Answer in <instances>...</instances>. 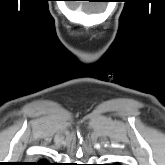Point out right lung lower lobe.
Segmentation results:
<instances>
[{"mask_svg": "<svg viewBox=\"0 0 165 165\" xmlns=\"http://www.w3.org/2000/svg\"><path fill=\"white\" fill-rule=\"evenodd\" d=\"M34 165H51V163H46V162H40V163H34Z\"/></svg>", "mask_w": 165, "mask_h": 165, "instance_id": "1", "label": "right lung lower lobe"}]
</instances>
